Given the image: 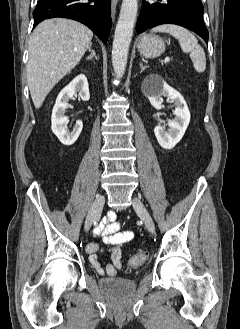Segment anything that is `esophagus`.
I'll return each instance as SVG.
<instances>
[{"instance_id":"obj_1","label":"esophagus","mask_w":240,"mask_h":329,"mask_svg":"<svg viewBox=\"0 0 240 329\" xmlns=\"http://www.w3.org/2000/svg\"><path fill=\"white\" fill-rule=\"evenodd\" d=\"M118 0H111V12H112V19L114 20L115 14H116V6H117Z\"/></svg>"}]
</instances>
